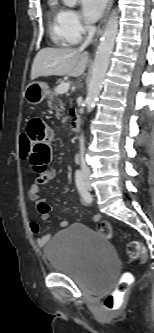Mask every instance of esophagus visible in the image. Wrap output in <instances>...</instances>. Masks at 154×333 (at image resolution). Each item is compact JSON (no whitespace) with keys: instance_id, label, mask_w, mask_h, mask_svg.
Listing matches in <instances>:
<instances>
[{"instance_id":"esophagus-1","label":"esophagus","mask_w":154,"mask_h":333,"mask_svg":"<svg viewBox=\"0 0 154 333\" xmlns=\"http://www.w3.org/2000/svg\"><path fill=\"white\" fill-rule=\"evenodd\" d=\"M112 3H113V0H108V4H107V7H106V10L104 12V15H103V17H102V19L100 21V24H99L97 32H96V36H95L96 40L98 38H100V36L103 33L104 27L106 25V22H107V19H108L110 10H111Z\"/></svg>"}]
</instances>
